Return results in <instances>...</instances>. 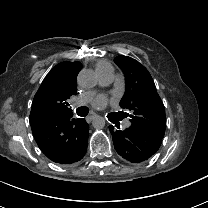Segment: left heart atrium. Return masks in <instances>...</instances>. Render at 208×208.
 I'll list each match as a JSON object with an SVG mask.
<instances>
[{"instance_id": "1", "label": "left heart atrium", "mask_w": 208, "mask_h": 208, "mask_svg": "<svg viewBox=\"0 0 208 208\" xmlns=\"http://www.w3.org/2000/svg\"><path fill=\"white\" fill-rule=\"evenodd\" d=\"M91 104L96 109H103L107 105V99L104 96H96L91 99Z\"/></svg>"}]
</instances>
